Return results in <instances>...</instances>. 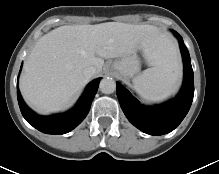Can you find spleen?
Listing matches in <instances>:
<instances>
[{
    "label": "spleen",
    "mask_w": 219,
    "mask_h": 174,
    "mask_svg": "<svg viewBox=\"0 0 219 174\" xmlns=\"http://www.w3.org/2000/svg\"><path fill=\"white\" fill-rule=\"evenodd\" d=\"M180 78L181 71L173 62L172 53L167 52L161 61L136 76L133 85L144 100L161 102L175 93Z\"/></svg>",
    "instance_id": "spleen-1"
}]
</instances>
